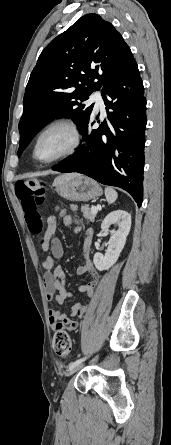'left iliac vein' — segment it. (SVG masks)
<instances>
[{
  "label": "left iliac vein",
  "mask_w": 171,
  "mask_h": 445,
  "mask_svg": "<svg viewBox=\"0 0 171 445\" xmlns=\"http://www.w3.org/2000/svg\"><path fill=\"white\" fill-rule=\"evenodd\" d=\"M82 366H83V364H79V365H77V366L74 367L73 369L69 370V373L71 374V373H73L74 371L79 370Z\"/></svg>",
  "instance_id": "1"
}]
</instances>
